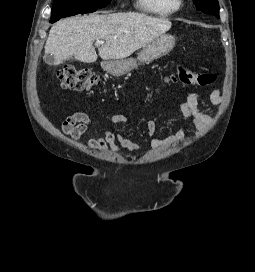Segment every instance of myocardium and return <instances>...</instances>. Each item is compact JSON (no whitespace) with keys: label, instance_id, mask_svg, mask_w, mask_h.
I'll list each match as a JSON object with an SVG mask.
<instances>
[{"label":"myocardium","instance_id":"obj_1","mask_svg":"<svg viewBox=\"0 0 255 272\" xmlns=\"http://www.w3.org/2000/svg\"><path fill=\"white\" fill-rule=\"evenodd\" d=\"M174 1H176L179 6H181V4L183 2V0H174Z\"/></svg>","mask_w":255,"mask_h":272}]
</instances>
